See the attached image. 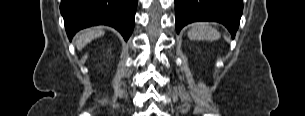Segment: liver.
I'll return each instance as SVG.
<instances>
[{"instance_id":"6515ba94","label":"liver","mask_w":305,"mask_h":116,"mask_svg":"<svg viewBox=\"0 0 305 116\" xmlns=\"http://www.w3.org/2000/svg\"><path fill=\"white\" fill-rule=\"evenodd\" d=\"M104 34L101 28L98 29H87L83 31L76 40V47L78 50L83 49L93 39L100 37Z\"/></svg>"}]
</instances>
